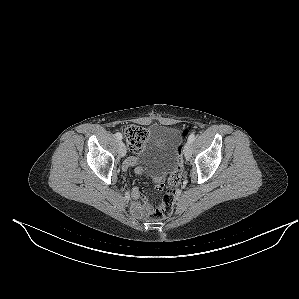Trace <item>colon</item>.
I'll return each mask as SVG.
<instances>
[{
  "mask_svg": "<svg viewBox=\"0 0 299 299\" xmlns=\"http://www.w3.org/2000/svg\"><path fill=\"white\" fill-rule=\"evenodd\" d=\"M189 132L190 130H184L182 133L183 137H186ZM123 133L130 150L133 152H139L143 148L148 137L147 129L138 125H127L123 128ZM182 173V160L178 159L176 167L168 176L165 184L161 185V187L165 188L166 193L162 201L149 214L151 218L161 219L172 213L175 203V189L181 183Z\"/></svg>",
  "mask_w": 299,
  "mask_h": 299,
  "instance_id": "colon-1",
  "label": "colon"
}]
</instances>
